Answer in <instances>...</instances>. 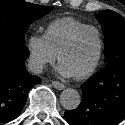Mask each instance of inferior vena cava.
<instances>
[{
	"mask_svg": "<svg viewBox=\"0 0 125 125\" xmlns=\"http://www.w3.org/2000/svg\"><path fill=\"white\" fill-rule=\"evenodd\" d=\"M28 69L35 74H41L43 71V64L36 60H29Z\"/></svg>",
	"mask_w": 125,
	"mask_h": 125,
	"instance_id": "obj_1",
	"label": "inferior vena cava"
}]
</instances>
